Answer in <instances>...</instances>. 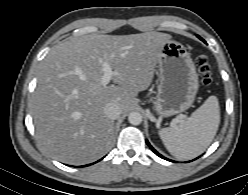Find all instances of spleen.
Instances as JSON below:
<instances>
[{
	"instance_id": "1",
	"label": "spleen",
	"mask_w": 248,
	"mask_h": 195,
	"mask_svg": "<svg viewBox=\"0 0 248 195\" xmlns=\"http://www.w3.org/2000/svg\"><path fill=\"white\" fill-rule=\"evenodd\" d=\"M220 123V108L216 96L208 99L187 119H180L159 131L166 149L177 159H192L211 144Z\"/></svg>"
}]
</instances>
